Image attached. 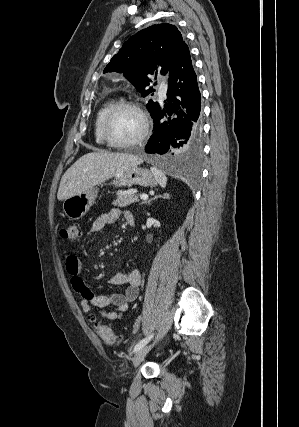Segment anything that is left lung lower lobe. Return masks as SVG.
<instances>
[{"mask_svg": "<svg viewBox=\"0 0 299 427\" xmlns=\"http://www.w3.org/2000/svg\"><path fill=\"white\" fill-rule=\"evenodd\" d=\"M168 76L167 102L163 107L158 103L151 113L154 133L145 152L165 162L195 160L202 153L201 94L185 41Z\"/></svg>", "mask_w": 299, "mask_h": 427, "instance_id": "0a47b994", "label": "left lung lower lobe"}]
</instances>
